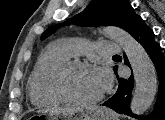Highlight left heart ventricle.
<instances>
[{"label": "left heart ventricle", "instance_id": "b2bd125f", "mask_svg": "<svg viewBox=\"0 0 165 120\" xmlns=\"http://www.w3.org/2000/svg\"><path fill=\"white\" fill-rule=\"evenodd\" d=\"M67 87L74 97L80 99H92L102 92L91 69L72 71L68 77Z\"/></svg>", "mask_w": 165, "mask_h": 120}]
</instances>
